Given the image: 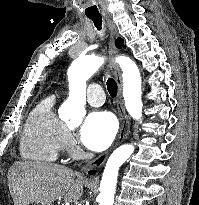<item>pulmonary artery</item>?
Segmentation results:
<instances>
[{"mask_svg":"<svg viewBox=\"0 0 199 205\" xmlns=\"http://www.w3.org/2000/svg\"><path fill=\"white\" fill-rule=\"evenodd\" d=\"M87 102L92 106H101L105 101V94L99 84H90L87 90Z\"/></svg>","mask_w":199,"mask_h":205,"instance_id":"e3ab8cb5","label":"pulmonary artery"}]
</instances>
